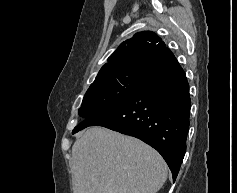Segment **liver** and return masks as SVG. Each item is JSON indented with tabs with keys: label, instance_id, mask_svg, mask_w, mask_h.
Wrapping results in <instances>:
<instances>
[{
	"label": "liver",
	"instance_id": "liver-1",
	"mask_svg": "<svg viewBox=\"0 0 237 193\" xmlns=\"http://www.w3.org/2000/svg\"><path fill=\"white\" fill-rule=\"evenodd\" d=\"M73 193H156L167 179L160 154L141 140L103 127L72 146Z\"/></svg>",
	"mask_w": 237,
	"mask_h": 193
}]
</instances>
